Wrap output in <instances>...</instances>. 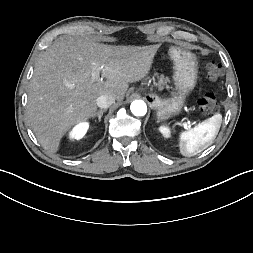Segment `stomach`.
<instances>
[{"mask_svg": "<svg viewBox=\"0 0 253 253\" xmlns=\"http://www.w3.org/2000/svg\"><path fill=\"white\" fill-rule=\"evenodd\" d=\"M169 55L173 60V80L177 93L170 98L149 95L160 119H168L180 113L186 96L193 90L198 78V62L193 53L171 47Z\"/></svg>", "mask_w": 253, "mask_h": 253, "instance_id": "obj_1", "label": "stomach"}]
</instances>
